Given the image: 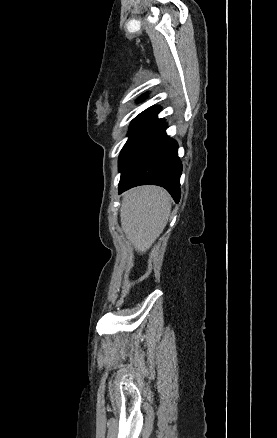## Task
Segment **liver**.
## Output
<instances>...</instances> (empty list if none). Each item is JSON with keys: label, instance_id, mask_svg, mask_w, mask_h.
Masks as SVG:
<instances>
[{"label": "liver", "instance_id": "1", "mask_svg": "<svg viewBox=\"0 0 277 438\" xmlns=\"http://www.w3.org/2000/svg\"><path fill=\"white\" fill-rule=\"evenodd\" d=\"M171 198L163 188L140 186L123 194L121 228L139 254H144L162 234L170 216Z\"/></svg>", "mask_w": 277, "mask_h": 438}]
</instances>
